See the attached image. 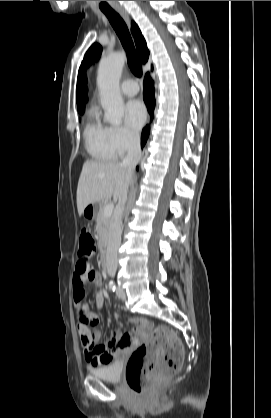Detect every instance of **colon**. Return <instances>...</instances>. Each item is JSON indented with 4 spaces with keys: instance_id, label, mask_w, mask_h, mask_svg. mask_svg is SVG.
Returning a JSON list of instances; mask_svg holds the SVG:
<instances>
[{
    "instance_id": "5ec220e1",
    "label": "colon",
    "mask_w": 271,
    "mask_h": 418,
    "mask_svg": "<svg viewBox=\"0 0 271 418\" xmlns=\"http://www.w3.org/2000/svg\"><path fill=\"white\" fill-rule=\"evenodd\" d=\"M94 252L93 236L88 228L82 227L79 261L89 260ZM182 360L183 348L178 337L166 327L155 328L145 343L131 354L126 367L127 384L132 392L142 394L149 385L176 373Z\"/></svg>"
}]
</instances>
